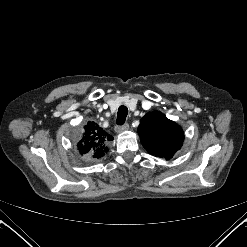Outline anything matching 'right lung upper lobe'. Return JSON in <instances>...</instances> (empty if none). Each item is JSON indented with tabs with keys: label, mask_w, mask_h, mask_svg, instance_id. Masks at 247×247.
Masks as SVG:
<instances>
[{
	"label": "right lung upper lobe",
	"mask_w": 247,
	"mask_h": 247,
	"mask_svg": "<svg viewBox=\"0 0 247 247\" xmlns=\"http://www.w3.org/2000/svg\"><path fill=\"white\" fill-rule=\"evenodd\" d=\"M112 139L113 137L99 124L94 121H88L82 130L81 139L77 143V150L83 157L99 159L107 151V141Z\"/></svg>",
	"instance_id": "right-lung-upper-lobe-1"
}]
</instances>
